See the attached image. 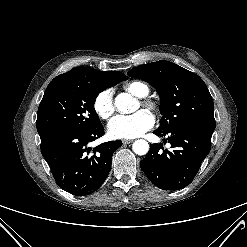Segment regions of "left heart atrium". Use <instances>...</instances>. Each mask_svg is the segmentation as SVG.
Masks as SVG:
<instances>
[{"instance_id":"left-heart-atrium-1","label":"left heart atrium","mask_w":247,"mask_h":247,"mask_svg":"<svg viewBox=\"0 0 247 247\" xmlns=\"http://www.w3.org/2000/svg\"><path fill=\"white\" fill-rule=\"evenodd\" d=\"M154 117L147 110L132 115H118L108 124V133L114 139H131L141 136L154 125Z\"/></svg>"}]
</instances>
